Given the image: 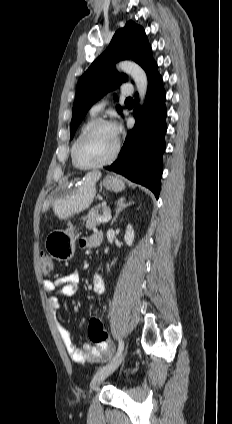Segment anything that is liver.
<instances>
[{
	"mask_svg": "<svg viewBox=\"0 0 232 424\" xmlns=\"http://www.w3.org/2000/svg\"><path fill=\"white\" fill-rule=\"evenodd\" d=\"M101 175L100 171H91L81 180L79 178L74 179L71 184L66 182L60 188L64 189V192L56 194L55 198L50 197L45 200L42 211L45 212L52 206L54 214L59 219H67L73 214L87 209L94 200L96 195V183ZM73 185H75L74 188H72Z\"/></svg>",
	"mask_w": 232,
	"mask_h": 424,
	"instance_id": "obj_1",
	"label": "liver"
}]
</instances>
